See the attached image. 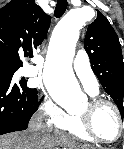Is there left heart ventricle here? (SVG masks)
<instances>
[{
    "instance_id": "obj_1",
    "label": "left heart ventricle",
    "mask_w": 124,
    "mask_h": 149,
    "mask_svg": "<svg viewBox=\"0 0 124 149\" xmlns=\"http://www.w3.org/2000/svg\"><path fill=\"white\" fill-rule=\"evenodd\" d=\"M87 103L81 113L87 112ZM93 127L96 133L107 140H113L118 136L119 124L111 107L101 106L93 113Z\"/></svg>"
}]
</instances>
